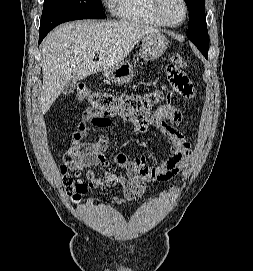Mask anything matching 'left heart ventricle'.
<instances>
[{"mask_svg": "<svg viewBox=\"0 0 253 271\" xmlns=\"http://www.w3.org/2000/svg\"><path fill=\"white\" fill-rule=\"evenodd\" d=\"M162 10L171 23H178L184 16V7L181 0H162Z\"/></svg>", "mask_w": 253, "mask_h": 271, "instance_id": "obj_1", "label": "left heart ventricle"}]
</instances>
